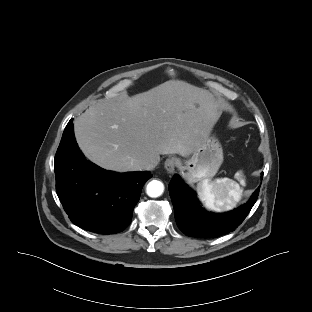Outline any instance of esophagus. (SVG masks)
Wrapping results in <instances>:
<instances>
[{"mask_svg":"<svg viewBox=\"0 0 312 312\" xmlns=\"http://www.w3.org/2000/svg\"><path fill=\"white\" fill-rule=\"evenodd\" d=\"M177 165V160L173 157L166 159L164 163L165 170L167 171L168 174H172L175 172Z\"/></svg>","mask_w":312,"mask_h":312,"instance_id":"obj_1","label":"esophagus"}]
</instances>
